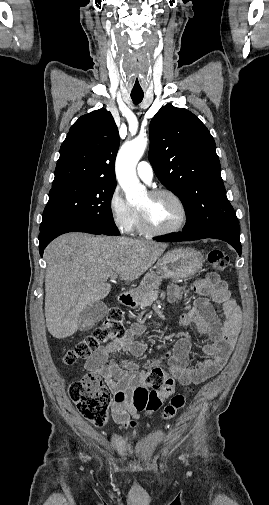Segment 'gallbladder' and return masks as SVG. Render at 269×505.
Returning a JSON list of instances; mask_svg holds the SVG:
<instances>
[{
  "instance_id": "1",
  "label": "gallbladder",
  "mask_w": 269,
  "mask_h": 505,
  "mask_svg": "<svg viewBox=\"0 0 269 505\" xmlns=\"http://www.w3.org/2000/svg\"><path fill=\"white\" fill-rule=\"evenodd\" d=\"M107 315V305L103 301L89 304L79 316V330L88 331Z\"/></svg>"
}]
</instances>
